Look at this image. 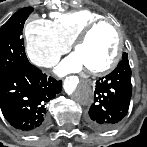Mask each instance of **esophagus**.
<instances>
[{
	"label": "esophagus",
	"mask_w": 147,
	"mask_h": 147,
	"mask_svg": "<svg viewBox=\"0 0 147 147\" xmlns=\"http://www.w3.org/2000/svg\"><path fill=\"white\" fill-rule=\"evenodd\" d=\"M89 84H90L91 86H94V82H93V81H89Z\"/></svg>",
	"instance_id": "1"
}]
</instances>
